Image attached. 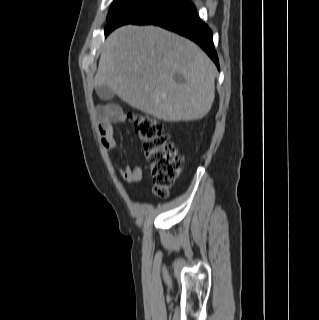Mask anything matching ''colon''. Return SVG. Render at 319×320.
I'll use <instances>...</instances> for the list:
<instances>
[{"label":"colon","mask_w":319,"mask_h":320,"mask_svg":"<svg viewBox=\"0 0 319 320\" xmlns=\"http://www.w3.org/2000/svg\"><path fill=\"white\" fill-rule=\"evenodd\" d=\"M132 122L144 146L154 193L165 197L181 174L183 159L157 119L148 115H134Z\"/></svg>","instance_id":"5ec220e1"}]
</instances>
